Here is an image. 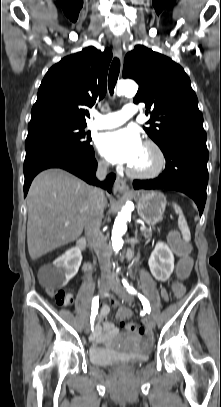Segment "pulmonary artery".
I'll return each instance as SVG.
<instances>
[{"instance_id":"1","label":"pulmonary artery","mask_w":221,"mask_h":407,"mask_svg":"<svg viewBox=\"0 0 221 407\" xmlns=\"http://www.w3.org/2000/svg\"><path fill=\"white\" fill-rule=\"evenodd\" d=\"M137 108L133 104H126L120 111L109 112L106 114L94 113L95 119L89 125L92 129H109L122 125L129 118L134 116Z\"/></svg>"}]
</instances>
